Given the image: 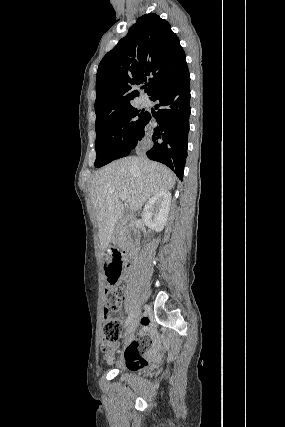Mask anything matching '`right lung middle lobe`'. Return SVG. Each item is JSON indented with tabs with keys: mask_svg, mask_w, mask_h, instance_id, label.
I'll list each match as a JSON object with an SVG mask.
<instances>
[{
	"mask_svg": "<svg viewBox=\"0 0 285 427\" xmlns=\"http://www.w3.org/2000/svg\"><path fill=\"white\" fill-rule=\"evenodd\" d=\"M146 115L131 105L95 125V167L127 156L137 146Z\"/></svg>",
	"mask_w": 285,
	"mask_h": 427,
	"instance_id": "right-lung-middle-lobe-1",
	"label": "right lung middle lobe"
}]
</instances>
